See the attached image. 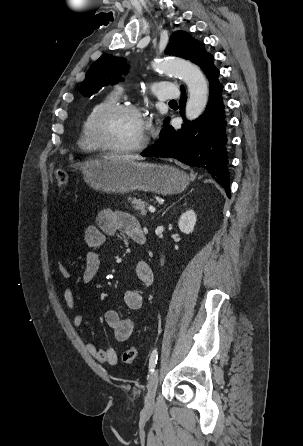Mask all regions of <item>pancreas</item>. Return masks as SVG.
Masks as SVG:
<instances>
[{"label":"pancreas","instance_id":"pancreas-1","mask_svg":"<svg viewBox=\"0 0 303 446\" xmlns=\"http://www.w3.org/2000/svg\"><path fill=\"white\" fill-rule=\"evenodd\" d=\"M128 201L131 202V204L133 205V208L135 210L139 211L142 216H145V214H146V210H145L146 202H144V201H142L140 199L131 198V197H128Z\"/></svg>","mask_w":303,"mask_h":446}]
</instances>
